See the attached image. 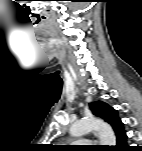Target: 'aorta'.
<instances>
[{
	"mask_svg": "<svg viewBox=\"0 0 142 151\" xmlns=\"http://www.w3.org/2000/svg\"><path fill=\"white\" fill-rule=\"evenodd\" d=\"M96 131L101 145L115 146L116 137L111 126L96 118L76 121L69 130L72 137H80L88 132Z\"/></svg>",
	"mask_w": 142,
	"mask_h": 151,
	"instance_id": "obj_1",
	"label": "aorta"
}]
</instances>
